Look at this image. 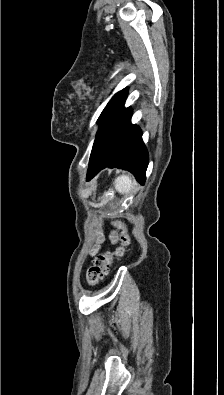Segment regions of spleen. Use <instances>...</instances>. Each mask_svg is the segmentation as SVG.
<instances>
[{
  "mask_svg": "<svg viewBox=\"0 0 224 395\" xmlns=\"http://www.w3.org/2000/svg\"><path fill=\"white\" fill-rule=\"evenodd\" d=\"M136 181L130 175H121L114 181V187L121 194H128L135 189Z\"/></svg>",
  "mask_w": 224,
  "mask_h": 395,
  "instance_id": "obj_1",
  "label": "spleen"
}]
</instances>
